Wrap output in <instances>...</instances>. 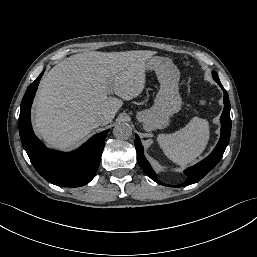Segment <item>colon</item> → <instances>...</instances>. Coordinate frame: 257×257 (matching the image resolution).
<instances>
[{"label": "colon", "mask_w": 257, "mask_h": 257, "mask_svg": "<svg viewBox=\"0 0 257 257\" xmlns=\"http://www.w3.org/2000/svg\"><path fill=\"white\" fill-rule=\"evenodd\" d=\"M206 102H207L206 99H201V100H200V104H201V105H205Z\"/></svg>", "instance_id": "obj_1"}]
</instances>
